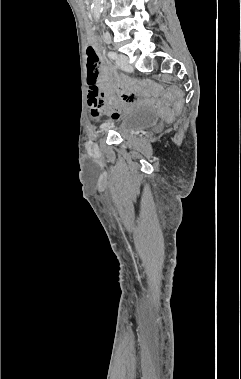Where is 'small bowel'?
Wrapping results in <instances>:
<instances>
[{"label":"small bowel","mask_w":241,"mask_h":379,"mask_svg":"<svg viewBox=\"0 0 241 379\" xmlns=\"http://www.w3.org/2000/svg\"><path fill=\"white\" fill-rule=\"evenodd\" d=\"M92 46L94 47V45ZM105 92H120L122 94V108L125 111L129 110L134 105L131 104L130 106L125 101L129 98H138V92L125 83L120 82L118 78L113 75L104 65L101 67L99 83H88V94L85 97V104L87 106V110H90V115H92L95 119H99L101 115H107V113L110 112V124L116 125L117 121H120V117H122L123 112L122 110H112V107L119 106V102L108 103L103 97Z\"/></svg>","instance_id":"small-bowel-1"}]
</instances>
